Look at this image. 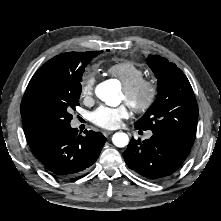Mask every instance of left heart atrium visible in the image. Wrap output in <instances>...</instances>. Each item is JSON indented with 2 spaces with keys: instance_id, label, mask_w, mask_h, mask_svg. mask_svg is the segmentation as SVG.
<instances>
[{
  "instance_id": "39dd6f15",
  "label": "left heart atrium",
  "mask_w": 221,
  "mask_h": 221,
  "mask_svg": "<svg viewBox=\"0 0 221 221\" xmlns=\"http://www.w3.org/2000/svg\"><path fill=\"white\" fill-rule=\"evenodd\" d=\"M129 117V107L122 104L117 107L100 106L91 115V120L97 126L114 129L121 125L123 119Z\"/></svg>"
}]
</instances>
